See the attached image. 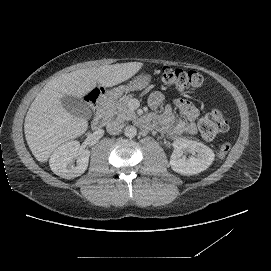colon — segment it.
I'll return each instance as SVG.
<instances>
[{"mask_svg": "<svg viewBox=\"0 0 271 271\" xmlns=\"http://www.w3.org/2000/svg\"><path fill=\"white\" fill-rule=\"evenodd\" d=\"M161 80L163 86L172 91L179 93H186L204 84L203 76L196 71H185L182 69H173L164 67L161 73ZM104 98V90L102 88H95L89 95L88 101L96 104ZM230 120L219 109H214L205 115L198 124L202 136L206 139H212L216 135L228 130ZM231 149L228 142L222 143L217 149L219 157L226 156Z\"/></svg>", "mask_w": 271, "mask_h": 271, "instance_id": "5ec220e1", "label": "colon"}]
</instances>
